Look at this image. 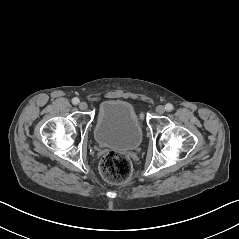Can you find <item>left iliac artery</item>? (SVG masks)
I'll return each instance as SVG.
<instances>
[{
	"label": "left iliac artery",
	"instance_id": "44dca946",
	"mask_svg": "<svg viewBox=\"0 0 239 239\" xmlns=\"http://www.w3.org/2000/svg\"><path fill=\"white\" fill-rule=\"evenodd\" d=\"M165 110L168 111V112H171L173 110V105L168 103L165 105Z\"/></svg>",
	"mask_w": 239,
	"mask_h": 239
}]
</instances>
